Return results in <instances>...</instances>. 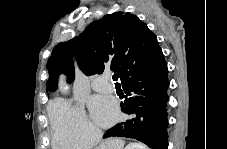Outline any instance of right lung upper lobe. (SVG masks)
Returning <instances> with one entry per match:
<instances>
[{
	"label": "right lung upper lobe",
	"mask_w": 227,
	"mask_h": 149,
	"mask_svg": "<svg viewBox=\"0 0 227 149\" xmlns=\"http://www.w3.org/2000/svg\"><path fill=\"white\" fill-rule=\"evenodd\" d=\"M73 57L86 75L110 67L123 81L137 70L156 64L164 57L157 37L137 16L115 12L92 22L78 37L57 44L47 62V89L55 91L61 72L72 82Z\"/></svg>",
	"instance_id": "obj_1"
}]
</instances>
